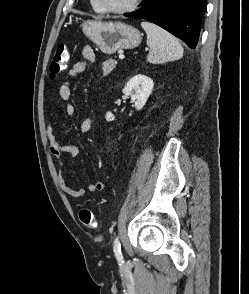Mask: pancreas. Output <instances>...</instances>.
I'll return each instance as SVG.
<instances>
[{
    "instance_id": "1",
    "label": "pancreas",
    "mask_w": 249,
    "mask_h": 294,
    "mask_svg": "<svg viewBox=\"0 0 249 294\" xmlns=\"http://www.w3.org/2000/svg\"><path fill=\"white\" fill-rule=\"evenodd\" d=\"M116 61L112 58L108 59L107 61L103 62L102 70L104 75L110 74L111 71L115 69Z\"/></svg>"
}]
</instances>
